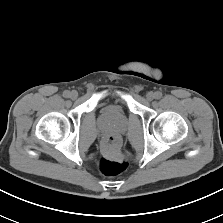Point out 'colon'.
<instances>
[{
	"instance_id": "obj_1",
	"label": "colon",
	"mask_w": 223,
	"mask_h": 223,
	"mask_svg": "<svg viewBox=\"0 0 223 223\" xmlns=\"http://www.w3.org/2000/svg\"><path fill=\"white\" fill-rule=\"evenodd\" d=\"M104 156L99 161V170L104 176H116L128 167L125 156L120 154V141L114 134H109L103 139Z\"/></svg>"
}]
</instances>
